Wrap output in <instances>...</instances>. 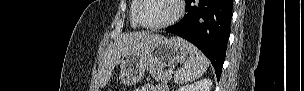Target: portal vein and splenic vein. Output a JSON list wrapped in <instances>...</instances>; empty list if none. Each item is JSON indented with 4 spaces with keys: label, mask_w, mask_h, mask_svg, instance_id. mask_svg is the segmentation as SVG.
<instances>
[{
    "label": "portal vein and splenic vein",
    "mask_w": 304,
    "mask_h": 91,
    "mask_svg": "<svg viewBox=\"0 0 304 91\" xmlns=\"http://www.w3.org/2000/svg\"><path fill=\"white\" fill-rule=\"evenodd\" d=\"M168 71H169L170 73H173V69H171V68H170Z\"/></svg>",
    "instance_id": "portal-vein-and-splenic-vein-1"
}]
</instances>
